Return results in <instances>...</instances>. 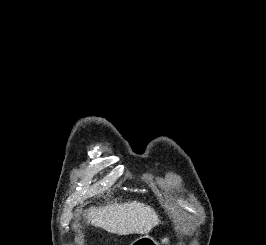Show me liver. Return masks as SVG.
<instances>
[{
  "label": "liver",
  "instance_id": "liver-1",
  "mask_svg": "<svg viewBox=\"0 0 266 245\" xmlns=\"http://www.w3.org/2000/svg\"><path fill=\"white\" fill-rule=\"evenodd\" d=\"M87 219L90 225L101 227L108 233L116 235H148L153 227L159 225L160 221L155 211L139 203V201H128V203H113L106 207H91Z\"/></svg>",
  "mask_w": 266,
  "mask_h": 245
}]
</instances>
